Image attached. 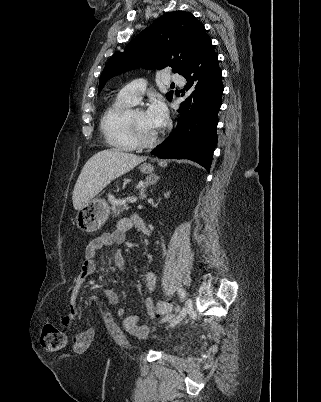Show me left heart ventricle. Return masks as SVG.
<instances>
[{
    "label": "left heart ventricle",
    "instance_id": "left-heart-ventricle-1",
    "mask_svg": "<svg viewBox=\"0 0 321 402\" xmlns=\"http://www.w3.org/2000/svg\"><path fill=\"white\" fill-rule=\"evenodd\" d=\"M131 118L135 128L143 137L149 138L157 133L156 129L148 125L143 111L136 110L131 112Z\"/></svg>",
    "mask_w": 321,
    "mask_h": 402
}]
</instances>
